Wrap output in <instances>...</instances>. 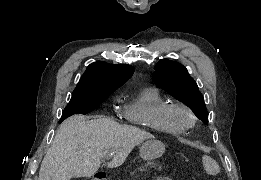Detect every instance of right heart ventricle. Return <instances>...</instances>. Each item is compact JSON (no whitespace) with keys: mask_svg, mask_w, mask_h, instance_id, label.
<instances>
[{"mask_svg":"<svg viewBox=\"0 0 261 180\" xmlns=\"http://www.w3.org/2000/svg\"><path fill=\"white\" fill-rule=\"evenodd\" d=\"M168 100L155 88H145L135 97L125 101L121 107V121H133V126L144 127V131L160 133V138H140L179 142L186 136L185 130L168 128L162 119V110Z\"/></svg>","mask_w":261,"mask_h":180,"instance_id":"1","label":"right heart ventricle"}]
</instances>
